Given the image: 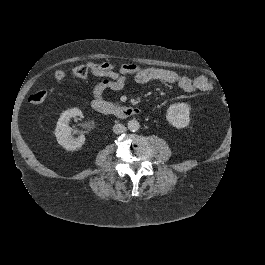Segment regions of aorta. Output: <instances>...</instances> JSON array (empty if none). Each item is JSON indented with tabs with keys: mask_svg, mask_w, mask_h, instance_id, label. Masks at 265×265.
<instances>
[{
	"mask_svg": "<svg viewBox=\"0 0 265 265\" xmlns=\"http://www.w3.org/2000/svg\"><path fill=\"white\" fill-rule=\"evenodd\" d=\"M140 128V124L137 120H130L128 121V129L132 132H135L137 130H139Z\"/></svg>",
	"mask_w": 265,
	"mask_h": 265,
	"instance_id": "aorta-1",
	"label": "aorta"
}]
</instances>
